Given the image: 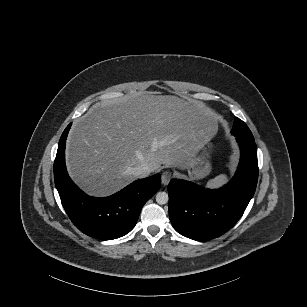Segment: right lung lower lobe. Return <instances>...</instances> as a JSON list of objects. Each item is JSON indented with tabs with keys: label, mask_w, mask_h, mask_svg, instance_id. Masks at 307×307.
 <instances>
[{
	"label": "right lung lower lobe",
	"mask_w": 307,
	"mask_h": 307,
	"mask_svg": "<svg viewBox=\"0 0 307 307\" xmlns=\"http://www.w3.org/2000/svg\"><path fill=\"white\" fill-rule=\"evenodd\" d=\"M71 123L64 130L54 162V180L62 205L74 225L86 235L111 240L129 233L143 205L159 190L160 174L137 180L105 198L86 195L68 176L65 143Z\"/></svg>",
	"instance_id": "1"
}]
</instances>
